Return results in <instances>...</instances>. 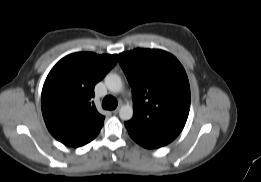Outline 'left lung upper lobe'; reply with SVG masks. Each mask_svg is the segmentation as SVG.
<instances>
[{
  "label": "left lung upper lobe",
  "instance_id": "5c2ea615",
  "mask_svg": "<svg viewBox=\"0 0 261 182\" xmlns=\"http://www.w3.org/2000/svg\"><path fill=\"white\" fill-rule=\"evenodd\" d=\"M132 87L134 115L125 123L133 133L170 143L182 131L190 110L186 72L170 53L134 49L119 54Z\"/></svg>",
  "mask_w": 261,
  "mask_h": 182
}]
</instances>
